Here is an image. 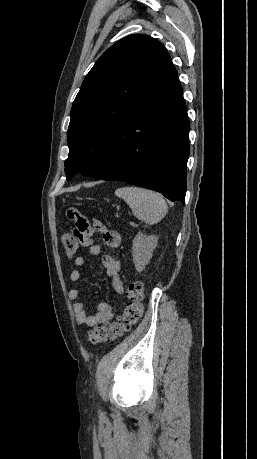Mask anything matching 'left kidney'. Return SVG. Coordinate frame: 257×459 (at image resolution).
Segmentation results:
<instances>
[{
    "mask_svg": "<svg viewBox=\"0 0 257 459\" xmlns=\"http://www.w3.org/2000/svg\"><path fill=\"white\" fill-rule=\"evenodd\" d=\"M158 238L155 235L143 234L139 232L133 240L132 244V256L133 263L138 272L145 269L149 263L153 250L157 246Z\"/></svg>",
    "mask_w": 257,
    "mask_h": 459,
    "instance_id": "1",
    "label": "left kidney"
}]
</instances>
